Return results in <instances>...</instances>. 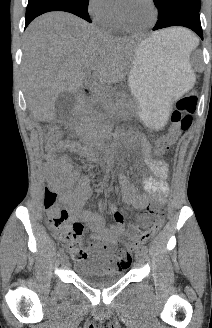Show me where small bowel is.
<instances>
[{
	"label": "small bowel",
	"instance_id": "obj_1",
	"mask_svg": "<svg viewBox=\"0 0 212 328\" xmlns=\"http://www.w3.org/2000/svg\"><path fill=\"white\" fill-rule=\"evenodd\" d=\"M73 153L80 152V145L74 141H62L59 144H48L45 149V170L58 189L64 202L67 205L66 211L69 220L74 223L86 224L92 231L88 246L91 250L97 267L102 269H120L115 261L108 263L107 256L110 254L117 240L125 234L126 217L118 210L117 206L101 200L99 207L102 211L109 212L115 220V224L107 228L104 218L90 210L84 209V205L91 196V175L80 176V171L75 168L71 159L65 151ZM144 161L152 174L157 178L146 179L143 182L144 190L153 195L156 203L163 204L168 194V168L164 161L155 159L150 155L148 145H144ZM118 183L121 188L123 203L135 209H144L148 204V199L137 193L136 189L130 185L125 174L118 175ZM139 226L149 224L148 217L141 213L138 216ZM83 226V225H82ZM88 253L79 259L87 258Z\"/></svg>",
	"mask_w": 212,
	"mask_h": 328
}]
</instances>
